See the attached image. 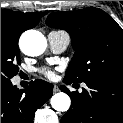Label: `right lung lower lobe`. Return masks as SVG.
Wrapping results in <instances>:
<instances>
[{
	"label": "right lung lower lobe",
	"mask_w": 123,
	"mask_h": 123,
	"mask_svg": "<svg viewBox=\"0 0 123 123\" xmlns=\"http://www.w3.org/2000/svg\"><path fill=\"white\" fill-rule=\"evenodd\" d=\"M53 85L43 80L31 81L18 89L11 81L1 82V123H32L35 112L52 96Z\"/></svg>",
	"instance_id": "1"
}]
</instances>
